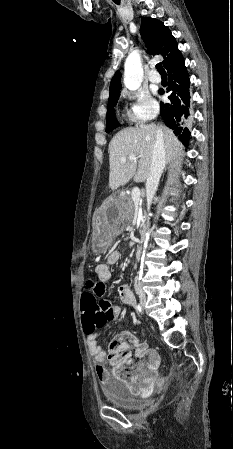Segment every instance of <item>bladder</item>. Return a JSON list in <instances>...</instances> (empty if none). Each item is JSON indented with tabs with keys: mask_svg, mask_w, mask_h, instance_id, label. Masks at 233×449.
I'll list each match as a JSON object with an SVG mask.
<instances>
[{
	"mask_svg": "<svg viewBox=\"0 0 233 449\" xmlns=\"http://www.w3.org/2000/svg\"><path fill=\"white\" fill-rule=\"evenodd\" d=\"M104 396L114 407L134 410L146 406V401L136 398L131 389L121 383L110 382L103 390Z\"/></svg>",
	"mask_w": 233,
	"mask_h": 449,
	"instance_id": "1",
	"label": "bladder"
}]
</instances>
